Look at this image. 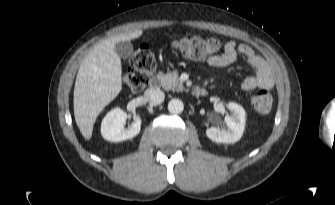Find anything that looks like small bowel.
<instances>
[{"mask_svg":"<svg viewBox=\"0 0 335 205\" xmlns=\"http://www.w3.org/2000/svg\"><path fill=\"white\" fill-rule=\"evenodd\" d=\"M238 56L245 59L255 68V74L243 81V89L252 90L255 88H269L271 86V80L264 62L246 45L235 46L233 43H228L225 46L224 53L212 57L209 60V64L215 67H224L233 63Z\"/></svg>","mask_w":335,"mask_h":205,"instance_id":"small-bowel-1","label":"small bowel"}]
</instances>
